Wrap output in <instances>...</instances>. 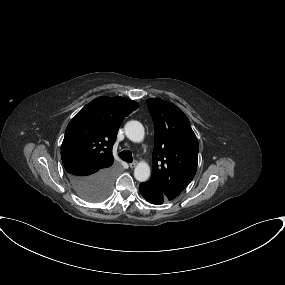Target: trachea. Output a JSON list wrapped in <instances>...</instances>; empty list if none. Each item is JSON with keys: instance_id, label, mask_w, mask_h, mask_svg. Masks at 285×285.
<instances>
[{"instance_id": "obj_1", "label": "trachea", "mask_w": 285, "mask_h": 285, "mask_svg": "<svg viewBox=\"0 0 285 285\" xmlns=\"http://www.w3.org/2000/svg\"><path fill=\"white\" fill-rule=\"evenodd\" d=\"M118 155L122 160H124L126 162H132V160H133L132 153L129 150H123Z\"/></svg>"}]
</instances>
